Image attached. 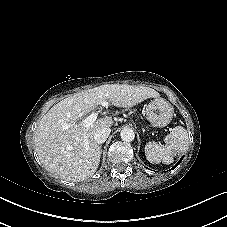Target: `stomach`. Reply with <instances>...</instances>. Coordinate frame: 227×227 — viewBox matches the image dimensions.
Here are the masks:
<instances>
[{
    "label": "stomach",
    "instance_id": "0dacf381",
    "mask_svg": "<svg viewBox=\"0 0 227 227\" xmlns=\"http://www.w3.org/2000/svg\"><path fill=\"white\" fill-rule=\"evenodd\" d=\"M174 109L172 105L163 98L152 100L146 108L147 120L151 126L162 128L172 120Z\"/></svg>",
    "mask_w": 227,
    "mask_h": 227
}]
</instances>
